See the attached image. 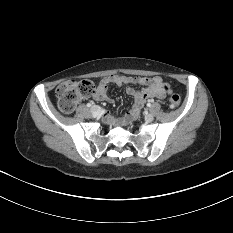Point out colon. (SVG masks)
I'll use <instances>...</instances> for the list:
<instances>
[{
    "label": "colon",
    "instance_id": "1",
    "mask_svg": "<svg viewBox=\"0 0 233 233\" xmlns=\"http://www.w3.org/2000/svg\"><path fill=\"white\" fill-rule=\"evenodd\" d=\"M95 93V86L90 80L68 81L60 84L56 89V97L59 109L64 113H70L83 99ZM180 96L173 94L170 97V106L176 108L180 104Z\"/></svg>",
    "mask_w": 233,
    "mask_h": 233
}]
</instances>
